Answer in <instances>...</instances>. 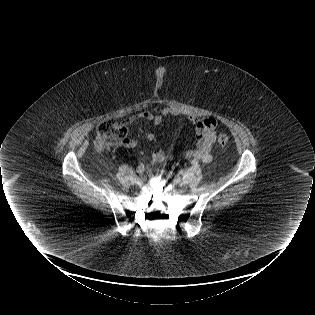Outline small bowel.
Segmentation results:
<instances>
[{
  "instance_id": "c3829d8e",
  "label": "small bowel",
  "mask_w": 315,
  "mask_h": 315,
  "mask_svg": "<svg viewBox=\"0 0 315 315\" xmlns=\"http://www.w3.org/2000/svg\"><path fill=\"white\" fill-rule=\"evenodd\" d=\"M180 112L174 108L158 106L154 110L142 111L131 115L123 120V125H130L137 120L143 119L150 121L155 127H158L163 119L167 116H178ZM188 120L196 128L197 139L193 148L184 151L181 155L183 159H197L202 162H209L211 160V149L215 142L217 127L216 120L213 118H198L194 115H189ZM148 141L153 142L156 135L149 132L146 135ZM125 147L132 148L136 146V141L127 139L123 144ZM173 155L162 150H155L151 154L152 163H162L166 160H171Z\"/></svg>"
}]
</instances>
